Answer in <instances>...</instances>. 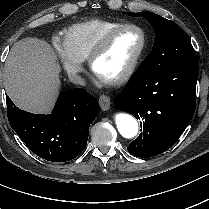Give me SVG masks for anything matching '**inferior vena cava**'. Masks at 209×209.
Masks as SVG:
<instances>
[{"label":"inferior vena cava","instance_id":"inferior-vena-cava-1","mask_svg":"<svg viewBox=\"0 0 209 209\" xmlns=\"http://www.w3.org/2000/svg\"><path fill=\"white\" fill-rule=\"evenodd\" d=\"M69 79L71 82H73L75 84H79V85H85V83H86L85 80L77 74H70Z\"/></svg>","mask_w":209,"mask_h":209}]
</instances>
